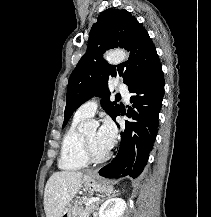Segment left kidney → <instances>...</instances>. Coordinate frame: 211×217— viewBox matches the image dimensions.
<instances>
[{
    "mask_svg": "<svg viewBox=\"0 0 211 217\" xmlns=\"http://www.w3.org/2000/svg\"><path fill=\"white\" fill-rule=\"evenodd\" d=\"M126 202L122 198L111 197L99 209V217H122L126 210Z\"/></svg>",
    "mask_w": 211,
    "mask_h": 217,
    "instance_id": "obj_1",
    "label": "left kidney"
}]
</instances>
